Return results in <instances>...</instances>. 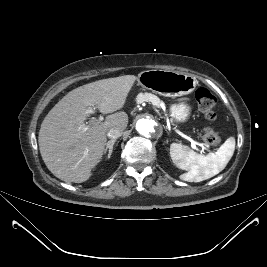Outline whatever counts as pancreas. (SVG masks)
<instances>
[{
    "label": "pancreas",
    "instance_id": "cf45deb5",
    "mask_svg": "<svg viewBox=\"0 0 267 267\" xmlns=\"http://www.w3.org/2000/svg\"><path fill=\"white\" fill-rule=\"evenodd\" d=\"M137 103H143V102H150L156 107H160L162 104V101L156 96L151 93H140L136 97Z\"/></svg>",
    "mask_w": 267,
    "mask_h": 267
}]
</instances>
